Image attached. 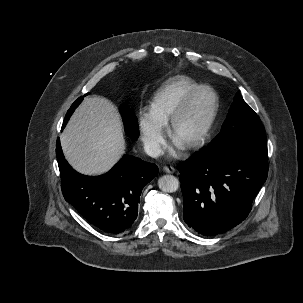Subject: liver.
Returning <instances> with one entry per match:
<instances>
[{
  "label": "liver",
  "mask_w": 303,
  "mask_h": 303,
  "mask_svg": "<svg viewBox=\"0 0 303 303\" xmlns=\"http://www.w3.org/2000/svg\"><path fill=\"white\" fill-rule=\"evenodd\" d=\"M61 145L78 172H107L125 152L120 118L112 103L101 97L86 98L61 135Z\"/></svg>",
  "instance_id": "1"
}]
</instances>
